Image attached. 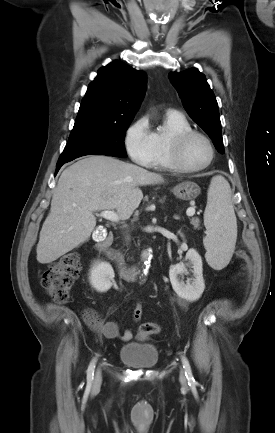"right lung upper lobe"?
<instances>
[{
  "instance_id": "right-lung-upper-lobe-1",
  "label": "right lung upper lobe",
  "mask_w": 275,
  "mask_h": 433,
  "mask_svg": "<svg viewBox=\"0 0 275 433\" xmlns=\"http://www.w3.org/2000/svg\"><path fill=\"white\" fill-rule=\"evenodd\" d=\"M146 74L121 61L101 67L89 84L76 121L133 119L145 92Z\"/></svg>"
}]
</instances>
